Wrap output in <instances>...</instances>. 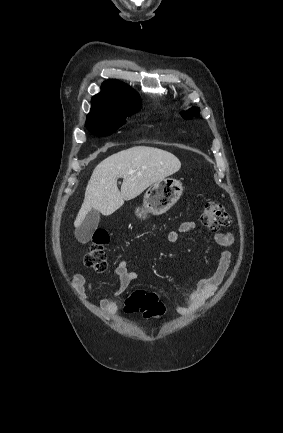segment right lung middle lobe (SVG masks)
<instances>
[{
  "instance_id": "1",
  "label": "right lung middle lobe",
  "mask_w": 283,
  "mask_h": 433,
  "mask_svg": "<svg viewBox=\"0 0 283 433\" xmlns=\"http://www.w3.org/2000/svg\"><path fill=\"white\" fill-rule=\"evenodd\" d=\"M138 110L139 109H126L88 114L85 125L94 135L108 136L126 122V117L133 115Z\"/></svg>"
}]
</instances>
